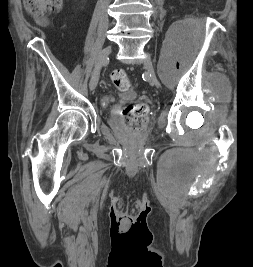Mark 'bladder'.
<instances>
[{
	"label": "bladder",
	"instance_id": "1",
	"mask_svg": "<svg viewBox=\"0 0 253 267\" xmlns=\"http://www.w3.org/2000/svg\"><path fill=\"white\" fill-rule=\"evenodd\" d=\"M118 96L120 98H124V99H131V98L134 97V94H133L132 91H130L129 89H127V90H121L118 93ZM114 99H115V95H113L112 93H107L102 98V102L108 104V103L112 102Z\"/></svg>",
	"mask_w": 253,
	"mask_h": 267
}]
</instances>
